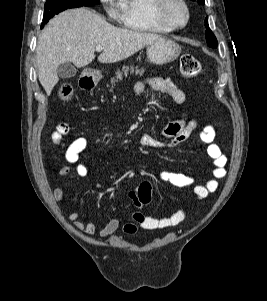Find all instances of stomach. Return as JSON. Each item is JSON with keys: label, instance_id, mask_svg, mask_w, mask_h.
I'll return each instance as SVG.
<instances>
[{"label": "stomach", "instance_id": "0dacf381", "mask_svg": "<svg viewBox=\"0 0 267 301\" xmlns=\"http://www.w3.org/2000/svg\"><path fill=\"white\" fill-rule=\"evenodd\" d=\"M181 53V47L174 41L161 38L147 46V57L151 63L163 65L176 60ZM92 80L97 83L102 74L99 71L90 73Z\"/></svg>", "mask_w": 267, "mask_h": 301}]
</instances>
